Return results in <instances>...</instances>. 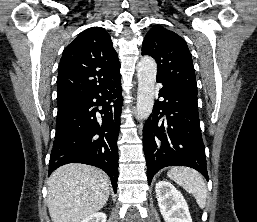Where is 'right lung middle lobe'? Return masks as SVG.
Wrapping results in <instances>:
<instances>
[{"label": "right lung middle lobe", "mask_w": 257, "mask_h": 222, "mask_svg": "<svg viewBox=\"0 0 257 222\" xmlns=\"http://www.w3.org/2000/svg\"><path fill=\"white\" fill-rule=\"evenodd\" d=\"M62 108H64V107H60V106H58V110H60V109H62Z\"/></svg>", "instance_id": "1"}]
</instances>
